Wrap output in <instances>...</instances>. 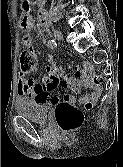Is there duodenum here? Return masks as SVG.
<instances>
[{"mask_svg":"<svg viewBox=\"0 0 123 167\" xmlns=\"http://www.w3.org/2000/svg\"><path fill=\"white\" fill-rule=\"evenodd\" d=\"M43 1V0H39ZM39 24L41 26H46L48 24V13L45 9L39 10Z\"/></svg>","mask_w":123,"mask_h":167,"instance_id":"duodenum-1","label":"duodenum"}]
</instances>
